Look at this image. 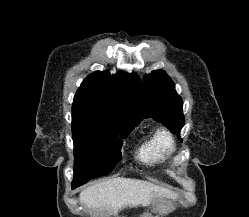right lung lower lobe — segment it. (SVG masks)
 <instances>
[{
    "label": "right lung lower lobe",
    "instance_id": "1",
    "mask_svg": "<svg viewBox=\"0 0 249 217\" xmlns=\"http://www.w3.org/2000/svg\"><path fill=\"white\" fill-rule=\"evenodd\" d=\"M82 184H84L82 182V180H76V179H74L73 182H72V188L74 189V188H76V187H78V186H80Z\"/></svg>",
    "mask_w": 249,
    "mask_h": 217
}]
</instances>
